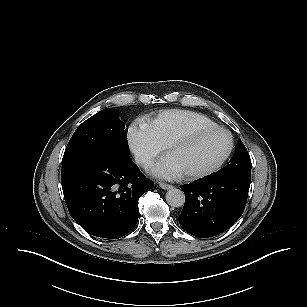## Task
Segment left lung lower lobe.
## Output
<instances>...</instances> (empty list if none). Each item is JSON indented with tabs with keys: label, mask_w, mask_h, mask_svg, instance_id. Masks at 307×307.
<instances>
[{
	"label": "left lung lower lobe",
	"mask_w": 307,
	"mask_h": 307,
	"mask_svg": "<svg viewBox=\"0 0 307 307\" xmlns=\"http://www.w3.org/2000/svg\"><path fill=\"white\" fill-rule=\"evenodd\" d=\"M250 180L248 176H207L180 186L186 198L179 216L180 226L201 238L213 237L227 230L243 214Z\"/></svg>",
	"instance_id": "1"
}]
</instances>
